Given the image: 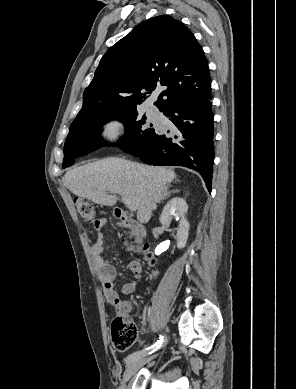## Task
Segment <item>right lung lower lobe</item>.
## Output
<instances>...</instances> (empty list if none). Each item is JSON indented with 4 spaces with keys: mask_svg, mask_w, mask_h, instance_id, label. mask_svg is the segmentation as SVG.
Masks as SVG:
<instances>
[{
    "mask_svg": "<svg viewBox=\"0 0 296 389\" xmlns=\"http://www.w3.org/2000/svg\"><path fill=\"white\" fill-rule=\"evenodd\" d=\"M211 92L184 101L166 112L178 129L169 136L158 131L143 150L130 154L152 165H179L196 170L212 190L214 117Z\"/></svg>",
    "mask_w": 296,
    "mask_h": 389,
    "instance_id": "1",
    "label": "right lung lower lobe"
}]
</instances>
